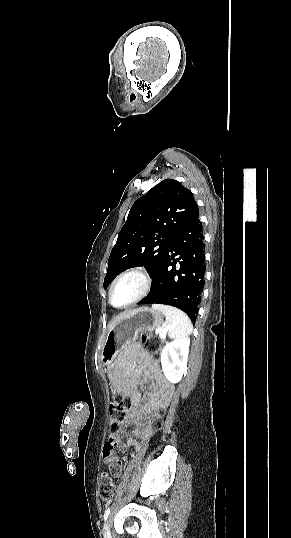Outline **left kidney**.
<instances>
[{"mask_svg":"<svg viewBox=\"0 0 291 538\" xmlns=\"http://www.w3.org/2000/svg\"><path fill=\"white\" fill-rule=\"evenodd\" d=\"M189 345V337H181L167 343L161 352L162 370L173 384L181 380L186 370Z\"/></svg>","mask_w":291,"mask_h":538,"instance_id":"5707ae66","label":"left kidney"}]
</instances>
